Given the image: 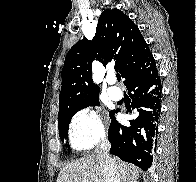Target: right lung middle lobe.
Returning <instances> with one entry per match:
<instances>
[{
	"instance_id": "dd1d6c3e",
	"label": "right lung middle lobe",
	"mask_w": 196,
	"mask_h": 182,
	"mask_svg": "<svg viewBox=\"0 0 196 182\" xmlns=\"http://www.w3.org/2000/svg\"><path fill=\"white\" fill-rule=\"evenodd\" d=\"M92 105H99V99L98 97L91 99L85 103H83L82 105H79L77 107H74L70 110H68L67 112L63 113L62 115L58 116V128H59V136L61 138V140L63 141V139H67L68 136V126L70 123L71 118L73 117V115L78 112L79 110L88 107V106H92ZM115 111H110L109 112V116L112 117Z\"/></svg>"
}]
</instances>
